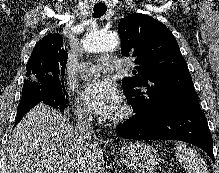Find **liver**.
Wrapping results in <instances>:
<instances>
[{
	"instance_id": "1",
	"label": "liver",
	"mask_w": 219,
	"mask_h": 173,
	"mask_svg": "<svg viewBox=\"0 0 219 173\" xmlns=\"http://www.w3.org/2000/svg\"><path fill=\"white\" fill-rule=\"evenodd\" d=\"M94 142L88 169L102 173L103 153ZM82 157L72 125L57 109L40 102L10 136L1 173H74Z\"/></svg>"
}]
</instances>
